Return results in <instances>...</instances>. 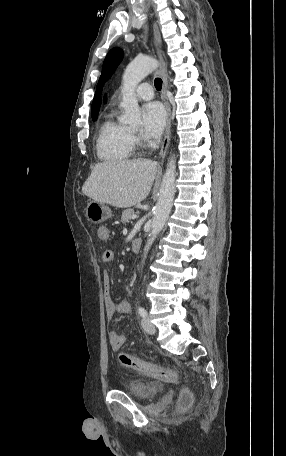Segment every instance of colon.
Returning <instances> with one entry per match:
<instances>
[{
    "mask_svg": "<svg viewBox=\"0 0 286 456\" xmlns=\"http://www.w3.org/2000/svg\"><path fill=\"white\" fill-rule=\"evenodd\" d=\"M119 360L124 366L134 369L143 375L155 378L157 380L166 383H176L178 381V376L176 372L172 369H168L150 362L143 361L127 353H121L119 355ZM179 402L183 407L189 406L191 402V395L189 391H182L179 398Z\"/></svg>",
    "mask_w": 286,
    "mask_h": 456,
    "instance_id": "colon-1",
    "label": "colon"
}]
</instances>
